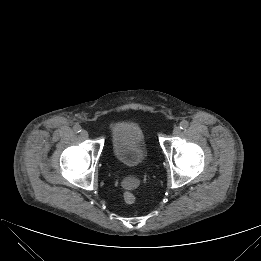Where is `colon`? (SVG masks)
I'll return each mask as SVG.
<instances>
[{"label": "colon", "instance_id": "colon-1", "mask_svg": "<svg viewBox=\"0 0 261 261\" xmlns=\"http://www.w3.org/2000/svg\"><path fill=\"white\" fill-rule=\"evenodd\" d=\"M123 200L126 204H133L136 200L134 193L132 192V187L126 185L123 192Z\"/></svg>", "mask_w": 261, "mask_h": 261}]
</instances>
